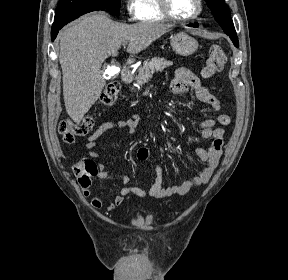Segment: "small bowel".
I'll return each instance as SVG.
<instances>
[{"mask_svg": "<svg viewBox=\"0 0 288 280\" xmlns=\"http://www.w3.org/2000/svg\"><path fill=\"white\" fill-rule=\"evenodd\" d=\"M169 89L175 94H180L192 90L196 98L204 103L210 110L209 115L206 119L200 122L199 128L201 137L204 140L211 139L210 147L205 150L203 148L196 149V155L204 163L203 169L200 173L180 184L164 188L162 186L163 181V169L160 165L155 167V180L153 184L147 188H141L138 186L131 185V178L122 173L110 172L107 170L104 164L98 165L99 173L98 176L102 179H118L124 186L119 190L117 195L107 203V211H113L115 208L120 206L125 198L129 195H135L138 197H151L156 199L171 197L174 195H185L195 187L205 184L209 181L212 174L214 173L219 159L222 154V146L225 131L223 127L230 124V118L226 114H217L221 110V104L219 100L210 93V91L201 84L199 78L190 70L186 68H178L169 84ZM139 121V115L135 114L132 117L120 120L111 119L103 122L97 130L87 139L85 144L88 150V155L91 158H98L99 153L95 151L98 143L97 140L103 136L106 132L111 129L119 128L123 129L127 133H133ZM216 123L220 127H215ZM137 157L140 160H147L149 158V150L146 147H141L137 151ZM83 195L88 198L91 196V190L89 187L83 188ZM103 201L99 196H94L91 199V206L93 208H101Z\"/></svg>", "mask_w": 288, "mask_h": 280, "instance_id": "small-bowel-1", "label": "small bowel"}]
</instances>
